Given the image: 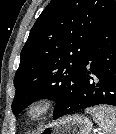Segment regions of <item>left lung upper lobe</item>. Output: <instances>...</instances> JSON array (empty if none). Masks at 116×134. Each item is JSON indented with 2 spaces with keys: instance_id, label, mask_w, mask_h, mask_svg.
I'll use <instances>...</instances> for the list:
<instances>
[{
  "instance_id": "left-lung-upper-lobe-1",
  "label": "left lung upper lobe",
  "mask_w": 116,
  "mask_h": 134,
  "mask_svg": "<svg viewBox=\"0 0 116 134\" xmlns=\"http://www.w3.org/2000/svg\"><path fill=\"white\" fill-rule=\"evenodd\" d=\"M114 0H52L32 27L14 78L16 117L32 102L49 98L56 111L70 100L89 45Z\"/></svg>"
}]
</instances>
